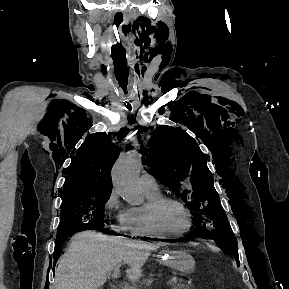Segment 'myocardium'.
<instances>
[{
    "instance_id": "myocardium-1",
    "label": "myocardium",
    "mask_w": 289,
    "mask_h": 289,
    "mask_svg": "<svg viewBox=\"0 0 289 289\" xmlns=\"http://www.w3.org/2000/svg\"><path fill=\"white\" fill-rule=\"evenodd\" d=\"M167 203H174L180 206L187 214L188 217V224L187 226L179 232H169L164 230L158 221V212L160 208L167 204ZM143 212L145 215V218L148 222V225L150 229L155 232L156 234L163 236V237H179L187 232L192 227L193 219H192V213L189 207L180 199L173 197V196H158L154 199L148 200L147 203L143 206Z\"/></svg>"
}]
</instances>
